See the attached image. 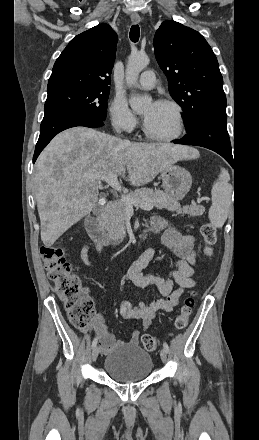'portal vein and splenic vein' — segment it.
<instances>
[{
	"label": "portal vein and splenic vein",
	"instance_id": "1",
	"mask_svg": "<svg viewBox=\"0 0 259 440\" xmlns=\"http://www.w3.org/2000/svg\"><path fill=\"white\" fill-rule=\"evenodd\" d=\"M93 178L97 179V180H103L105 182H107L114 190L121 192V185L117 179V174L116 173H110L108 175H95L93 176ZM121 199L128 205V206H138L144 210H152L153 209V205L151 203H147V202H142L136 198H132L129 195H122Z\"/></svg>",
	"mask_w": 259,
	"mask_h": 440
}]
</instances>
